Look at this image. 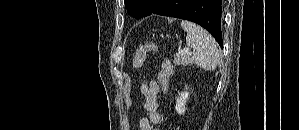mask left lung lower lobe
<instances>
[{
	"label": "left lung lower lobe",
	"instance_id": "1",
	"mask_svg": "<svg viewBox=\"0 0 299 130\" xmlns=\"http://www.w3.org/2000/svg\"><path fill=\"white\" fill-rule=\"evenodd\" d=\"M152 13L195 22L209 31L223 48L221 0H152L143 17Z\"/></svg>",
	"mask_w": 299,
	"mask_h": 130
}]
</instances>
